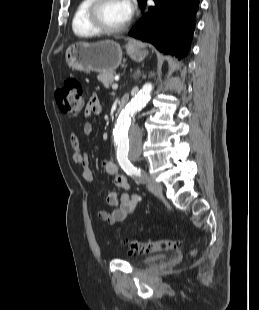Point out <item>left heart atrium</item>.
<instances>
[{"mask_svg":"<svg viewBox=\"0 0 259 310\" xmlns=\"http://www.w3.org/2000/svg\"><path fill=\"white\" fill-rule=\"evenodd\" d=\"M121 2L123 4L127 19H130L135 10V4L133 0H121Z\"/></svg>","mask_w":259,"mask_h":310,"instance_id":"1","label":"left heart atrium"}]
</instances>
